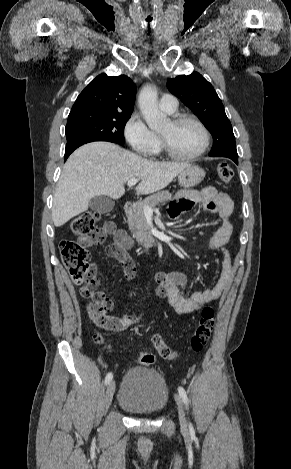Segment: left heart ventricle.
<instances>
[{
  "label": "left heart ventricle",
  "mask_w": 291,
  "mask_h": 469,
  "mask_svg": "<svg viewBox=\"0 0 291 469\" xmlns=\"http://www.w3.org/2000/svg\"><path fill=\"white\" fill-rule=\"evenodd\" d=\"M170 148L178 155L187 156L197 152L202 145V133L192 122L174 125L171 121L161 130Z\"/></svg>",
  "instance_id": "obj_1"
}]
</instances>
